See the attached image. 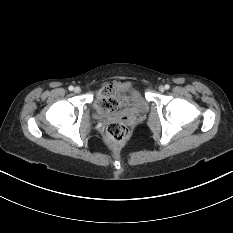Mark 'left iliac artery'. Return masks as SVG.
I'll use <instances>...</instances> for the list:
<instances>
[{
    "label": "left iliac artery",
    "mask_w": 233,
    "mask_h": 233,
    "mask_svg": "<svg viewBox=\"0 0 233 233\" xmlns=\"http://www.w3.org/2000/svg\"><path fill=\"white\" fill-rule=\"evenodd\" d=\"M169 88H170V86H169L168 84H166V85H165V89L168 90Z\"/></svg>",
    "instance_id": "1"
}]
</instances>
